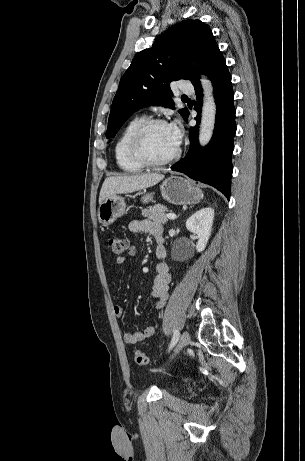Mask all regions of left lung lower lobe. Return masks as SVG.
<instances>
[{
	"label": "left lung lower lobe",
	"mask_w": 305,
	"mask_h": 461,
	"mask_svg": "<svg viewBox=\"0 0 305 461\" xmlns=\"http://www.w3.org/2000/svg\"><path fill=\"white\" fill-rule=\"evenodd\" d=\"M212 81L216 102L215 129L209 145L201 148L198 143V126L202 106V88L198 80L194 84L197 104V124L190 128V148L187 155L171 166L173 171L183 172L190 178L212 185L228 199L232 176L231 154L233 138L236 132L234 93L231 76L221 52L205 73ZM189 112L184 117L187 122Z\"/></svg>",
	"instance_id": "obj_1"
}]
</instances>
